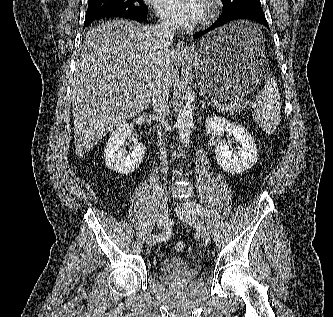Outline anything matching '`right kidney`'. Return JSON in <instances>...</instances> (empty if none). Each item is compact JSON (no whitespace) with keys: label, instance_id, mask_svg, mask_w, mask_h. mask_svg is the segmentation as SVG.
<instances>
[{"label":"right kidney","instance_id":"ca27d5eb","mask_svg":"<svg viewBox=\"0 0 333 317\" xmlns=\"http://www.w3.org/2000/svg\"><path fill=\"white\" fill-rule=\"evenodd\" d=\"M132 132L133 126L128 123L120 124L106 143L104 153L106 166L120 174L128 175L134 172L145 155L146 147L143 144H136L129 154L123 147L125 139L130 137Z\"/></svg>","mask_w":333,"mask_h":317}]
</instances>
